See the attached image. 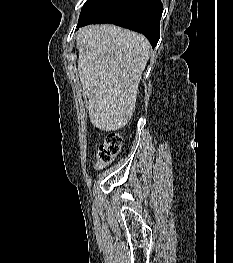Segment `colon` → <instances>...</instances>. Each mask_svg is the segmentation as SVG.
I'll return each instance as SVG.
<instances>
[{"label":"colon","mask_w":233,"mask_h":263,"mask_svg":"<svg viewBox=\"0 0 233 263\" xmlns=\"http://www.w3.org/2000/svg\"><path fill=\"white\" fill-rule=\"evenodd\" d=\"M123 137L118 131H109L97 153V166L106 167L121 152Z\"/></svg>","instance_id":"1"}]
</instances>
